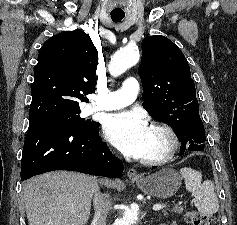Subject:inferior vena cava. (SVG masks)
Instances as JSON below:
<instances>
[{
	"mask_svg": "<svg viewBox=\"0 0 237 225\" xmlns=\"http://www.w3.org/2000/svg\"><path fill=\"white\" fill-rule=\"evenodd\" d=\"M95 214L94 220L97 225H106V218L111 209L112 202L107 194H101L98 189L94 192Z\"/></svg>",
	"mask_w": 237,
	"mask_h": 225,
	"instance_id": "inferior-vena-cava-1",
	"label": "inferior vena cava"
}]
</instances>
